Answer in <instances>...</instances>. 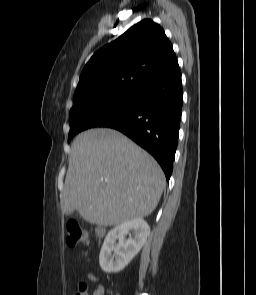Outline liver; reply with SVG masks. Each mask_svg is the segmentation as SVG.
Instances as JSON below:
<instances>
[{
  "mask_svg": "<svg viewBox=\"0 0 256 295\" xmlns=\"http://www.w3.org/2000/svg\"><path fill=\"white\" fill-rule=\"evenodd\" d=\"M156 160L120 132L97 128L72 143L62 213L115 226L150 215L165 188Z\"/></svg>",
  "mask_w": 256,
  "mask_h": 295,
  "instance_id": "1",
  "label": "liver"
}]
</instances>
